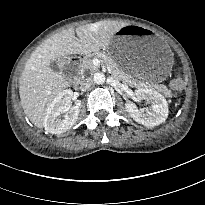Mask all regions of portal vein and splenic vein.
Listing matches in <instances>:
<instances>
[{"instance_id": "1", "label": "portal vein and splenic vein", "mask_w": 205, "mask_h": 205, "mask_svg": "<svg viewBox=\"0 0 205 205\" xmlns=\"http://www.w3.org/2000/svg\"><path fill=\"white\" fill-rule=\"evenodd\" d=\"M93 64H94V65H98V64H99V61H98V60H94V61H93Z\"/></svg>"}]
</instances>
